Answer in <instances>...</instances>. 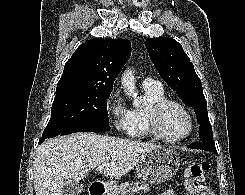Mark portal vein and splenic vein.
<instances>
[{
    "label": "portal vein and splenic vein",
    "mask_w": 245,
    "mask_h": 195,
    "mask_svg": "<svg viewBox=\"0 0 245 195\" xmlns=\"http://www.w3.org/2000/svg\"><path fill=\"white\" fill-rule=\"evenodd\" d=\"M103 167H104V165H98V166L96 167V171H100V170H102V169H103Z\"/></svg>",
    "instance_id": "18ae733b"
}]
</instances>
